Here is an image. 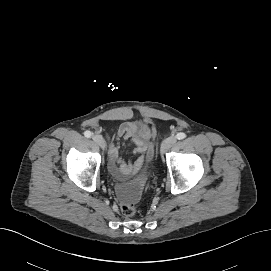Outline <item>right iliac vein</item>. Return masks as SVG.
I'll return each instance as SVG.
<instances>
[{"mask_svg":"<svg viewBox=\"0 0 271 271\" xmlns=\"http://www.w3.org/2000/svg\"><path fill=\"white\" fill-rule=\"evenodd\" d=\"M92 140L98 145L100 146L101 148H104L105 147V141L104 139L102 138V136L98 135V134H95L92 136Z\"/></svg>","mask_w":271,"mask_h":271,"instance_id":"63e3f726","label":"right iliac vein"}]
</instances>
